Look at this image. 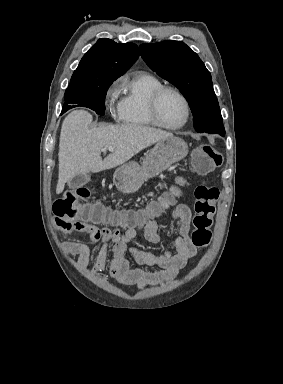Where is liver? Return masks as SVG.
<instances>
[{"label":"liver","mask_w":283,"mask_h":384,"mask_svg":"<svg viewBox=\"0 0 283 384\" xmlns=\"http://www.w3.org/2000/svg\"><path fill=\"white\" fill-rule=\"evenodd\" d=\"M92 120L91 114L86 110H73L62 124L56 194H61L66 182H70L75 176L121 166L141 150L173 136L171 132L141 124L100 126L89 130ZM105 146H112L114 152L102 160L100 154Z\"/></svg>","instance_id":"liver-1"}]
</instances>
